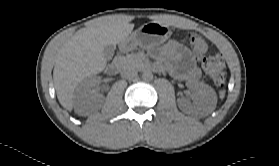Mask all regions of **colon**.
I'll list each match as a JSON object with an SVG mask.
<instances>
[{"label":"colon","mask_w":279,"mask_h":166,"mask_svg":"<svg viewBox=\"0 0 279 166\" xmlns=\"http://www.w3.org/2000/svg\"><path fill=\"white\" fill-rule=\"evenodd\" d=\"M188 41L192 50L200 58L206 74L216 85H223L226 79V68L222 57L220 55L205 56L206 41L198 34H190Z\"/></svg>","instance_id":"1"}]
</instances>
